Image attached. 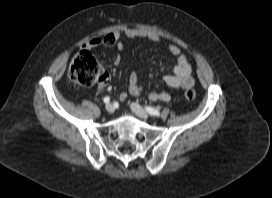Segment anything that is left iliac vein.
I'll list each match as a JSON object with an SVG mask.
<instances>
[{"mask_svg":"<svg viewBox=\"0 0 272 198\" xmlns=\"http://www.w3.org/2000/svg\"><path fill=\"white\" fill-rule=\"evenodd\" d=\"M131 110L140 118L147 120L149 118V114L145 111L139 104L131 103Z\"/></svg>","mask_w":272,"mask_h":198,"instance_id":"4c4485c4","label":"left iliac vein"}]
</instances>
